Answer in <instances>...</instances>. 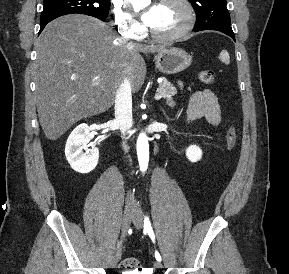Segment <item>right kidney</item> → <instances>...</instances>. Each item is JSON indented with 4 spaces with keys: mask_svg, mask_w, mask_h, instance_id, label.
<instances>
[{
    "mask_svg": "<svg viewBox=\"0 0 289 274\" xmlns=\"http://www.w3.org/2000/svg\"><path fill=\"white\" fill-rule=\"evenodd\" d=\"M91 128L85 124H79L69 135L65 145V155L71 168L79 173H89L98 164L99 150L92 148L83 152Z\"/></svg>",
    "mask_w": 289,
    "mask_h": 274,
    "instance_id": "ca27d5eb",
    "label": "right kidney"
}]
</instances>
